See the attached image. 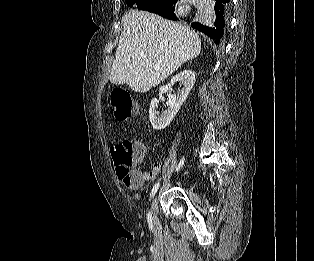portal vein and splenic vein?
<instances>
[{"mask_svg":"<svg viewBox=\"0 0 314 261\" xmlns=\"http://www.w3.org/2000/svg\"><path fill=\"white\" fill-rule=\"evenodd\" d=\"M154 69H155V70H158V69H159V66H157V65L154 66Z\"/></svg>","mask_w":314,"mask_h":261,"instance_id":"obj_1","label":"portal vein and splenic vein"}]
</instances>
